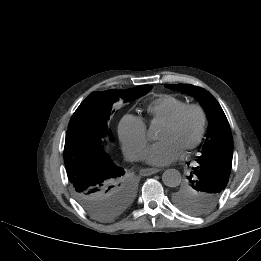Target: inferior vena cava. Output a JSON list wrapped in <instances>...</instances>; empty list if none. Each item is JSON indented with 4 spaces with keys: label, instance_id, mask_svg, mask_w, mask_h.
Wrapping results in <instances>:
<instances>
[{
    "label": "inferior vena cava",
    "instance_id": "602c4592",
    "mask_svg": "<svg viewBox=\"0 0 261 261\" xmlns=\"http://www.w3.org/2000/svg\"><path fill=\"white\" fill-rule=\"evenodd\" d=\"M124 157L126 158V160L128 161H135L138 159V155L132 152H125L124 153Z\"/></svg>",
    "mask_w": 261,
    "mask_h": 261
}]
</instances>
